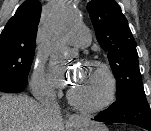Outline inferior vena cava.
Here are the masks:
<instances>
[{"mask_svg": "<svg viewBox=\"0 0 151 131\" xmlns=\"http://www.w3.org/2000/svg\"><path fill=\"white\" fill-rule=\"evenodd\" d=\"M41 103L47 112L51 113L53 120L58 123L61 121V116L59 114V106L56 102L55 94L50 91L44 92V97L41 99Z\"/></svg>", "mask_w": 151, "mask_h": 131, "instance_id": "obj_1", "label": "inferior vena cava"}]
</instances>
